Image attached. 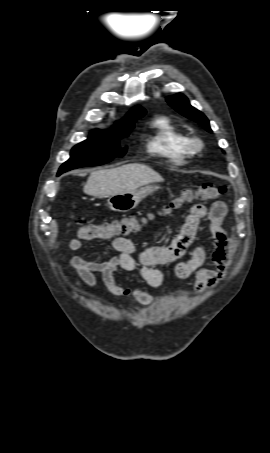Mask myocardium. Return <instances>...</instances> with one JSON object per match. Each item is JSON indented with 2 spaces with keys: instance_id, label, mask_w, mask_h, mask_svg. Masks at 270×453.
I'll use <instances>...</instances> for the list:
<instances>
[{
  "instance_id": "myocardium-1",
  "label": "myocardium",
  "mask_w": 270,
  "mask_h": 453,
  "mask_svg": "<svg viewBox=\"0 0 270 453\" xmlns=\"http://www.w3.org/2000/svg\"><path fill=\"white\" fill-rule=\"evenodd\" d=\"M187 146L191 153H197L203 150L204 142L201 138L193 136L188 138Z\"/></svg>"
}]
</instances>
